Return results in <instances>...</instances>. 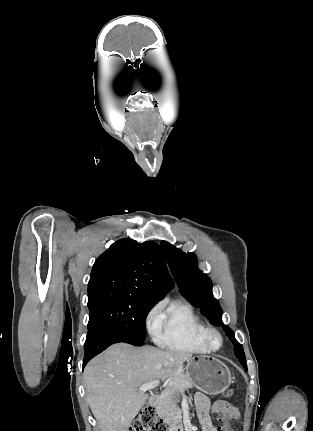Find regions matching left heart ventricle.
<instances>
[{"label": "left heart ventricle", "instance_id": "b2bd125f", "mask_svg": "<svg viewBox=\"0 0 313 431\" xmlns=\"http://www.w3.org/2000/svg\"><path fill=\"white\" fill-rule=\"evenodd\" d=\"M211 342H212V344H213V345H215V346H217V345L219 344V341H218L217 337H215V336H213V337L211 338Z\"/></svg>", "mask_w": 313, "mask_h": 431}]
</instances>
